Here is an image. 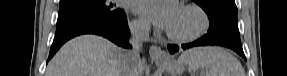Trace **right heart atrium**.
I'll return each mask as SVG.
<instances>
[{
    "label": "right heart atrium",
    "mask_w": 287,
    "mask_h": 76,
    "mask_svg": "<svg viewBox=\"0 0 287 76\" xmlns=\"http://www.w3.org/2000/svg\"><path fill=\"white\" fill-rule=\"evenodd\" d=\"M131 27L133 31L138 34H145L149 29L148 23L142 19H134L131 23Z\"/></svg>",
    "instance_id": "1"
}]
</instances>
